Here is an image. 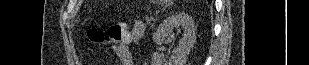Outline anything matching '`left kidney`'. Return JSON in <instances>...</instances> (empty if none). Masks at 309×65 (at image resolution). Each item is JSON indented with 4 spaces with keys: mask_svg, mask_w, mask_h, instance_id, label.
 <instances>
[{
    "mask_svg": "<svg viewBox=\"0 0 309 65\" xmlns=\"http://www.w3.org/2000/svg\"><path fill=\"white\" fill-rule=\"evenodd\" d=\"M181 27L183 36L179 40V46L174 54L165 60L164 56L155 52L152 55V65H185L190 50L195 43V25L191 16L186 13H179L166 18L153 34V41L161 45L165 38L172 35L175 28Z\"/></svg>",
    "mask_w": 309,
    "mask_h": 65,
    "instance_id": "left-kidney-1",
    "label": "left kidney"
}]
</instances>
